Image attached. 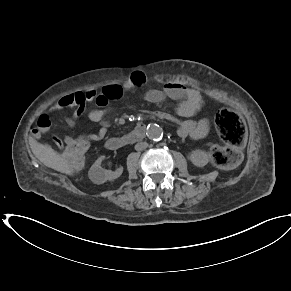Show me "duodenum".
<instances>
[{
  "label": "duodenum",
  "mask_w": 291,
  "mask_h": 291,
  "mask_svg": "<svg viewBox=\"0 0 291 291\" xmlns=\"http://www.w3.org/2000/svg\"><path fill=\"white\" fill-rule=\"evenodd\" d=\"M146 132V124L139 123L130 133L108 139L105 146L108 150H118L130 144H133L143 138Z\"/></svg>",
  "instance_id": "duodenum-1"
}]
</instances>
